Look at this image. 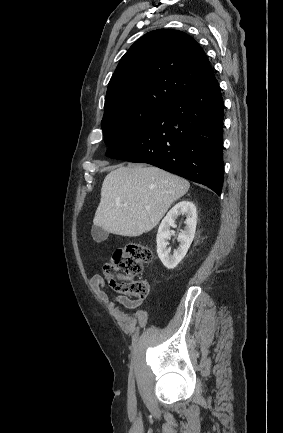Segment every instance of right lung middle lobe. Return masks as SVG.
<instances>
[{
    "mask_svg": "<svg viewBox=\"0 0 283 433\" xmlns=\"http://www.w3.org/2000/svg\"><path fill=\"white\" fill-rule=\"evenodd\" d=\"M162 109L149 104H127L105 111L101 127L108 146L106 156L112 157L125 149Z\"/></svg>",
    "mask_w": 283,
    "mask_h": 433,
    "instance_id": "obj_1",
    "label": "right lung middle lobe"
}]
</instances>
